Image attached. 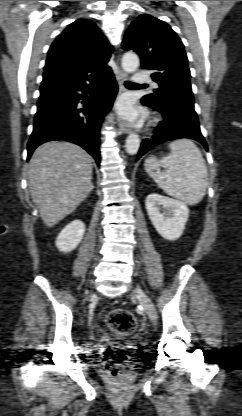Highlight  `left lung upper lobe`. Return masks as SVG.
<instances>
[{
	"instance_id": "obj_1",
	"label": "left lung upper lobe",
	"mask_w": 242,
	"mask_h": 416,
	"mask_svg": "<svg viewBox=\"0 0 242 416\" xmlns=\"http://www.w3.org/2000/svg\"><path fill=\"white\" fill-rule=\"evenodd\" d=\"M122 47L138 53L142 68L153 70L152 79L159 84L155 94L144 96L142 101L158 104L174 99L194 104L186 52L167 23L140 15L127 30Z\"/></svg>"
}]
</instances>
